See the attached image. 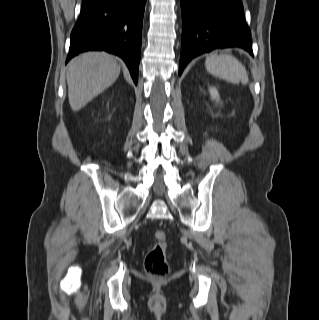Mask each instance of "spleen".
Returning a JSON list of instances; mask_svg holds the SVG:
<instances>
[{
  "label": "spleen",
  "instance_id": "spleen-1",
  "mask_svg": "<svg viewBox=\"0 0 319 320\" xmlns=\"http://www.w3.org/2000/svg\"><path fill=\"white\" fill-rule=\"evenodd\" d=\"M205 67L212 75L231 83H248V73L245 67L230 55H210L206 58Z\"/></svg>",
  "mask_w": 319,
  "mask_h": 320
}]
</instances>
